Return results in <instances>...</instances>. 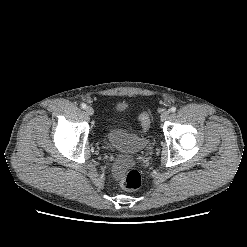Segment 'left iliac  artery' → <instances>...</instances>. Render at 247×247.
<instances>
[{
  "label": "left iliac artery",
  "instance_id": "obj_1",
  "mask_svg": "<svg viewBox=\"0 0 247 247\" xmlns=\"http://www.w3.org/2000/svg\"><path fill=\"white\" fill-rule=\"evenodd\" d=\"M170 111H171V112H175V111H176V107H171V108H170Z\"/></svg>",
  "mask_w": 247,
  "mask_h": 247
}]
</instances>
